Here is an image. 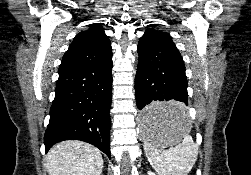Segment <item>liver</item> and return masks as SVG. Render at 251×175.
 <instances>
[{
    "instance_id": "obj_1",
    "label": "liver",
    "mask_w": 251,
    "mask_h": 175,
    "mask_svg": "<svg viewBox=\"0 0 251 175\" xmlns=\"http://www.w3.org/2000/svg\"><path fill=\"white\" fill-rule=\"evenodd\" d=\"M45 167L49 175H101L102 155L85 141H61L49 149Z\"/></svg>"
}]
</instances>
